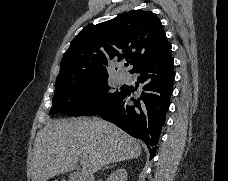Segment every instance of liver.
<instances>
[{"label": "liver", "mask_w": 228, "mask_h": 181, "mask_svg": "<svg viewBox=\"0 0 228 181\" xmlns=\"http://www.w3.org/2000/svg\"><path fill=\"white\" fill-rule=\"evenodd\" d=\"M141 153L140 141L99 117L49 121L34 141L31 181L70 173L78 161L81 175L91 179L109 163L137 159Z\"/></svg>", "instance_id": "obj_1"}]
</instances>
